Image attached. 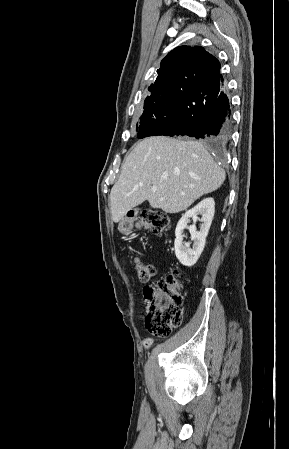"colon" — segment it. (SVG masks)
Masks as SVG:
<instances>
[{"mask_svg":"<svg viewBox=\"0 0 289 449\" xmlns=\"http://www.w3.org/2000/svg\"><path fill=\"white\" fill-rule=\"evenodd\" d=\"M167 223L168 218L164 213L145 210L141 213L136 225L154 233H160ZM130 224L127 222V225ZM133 266L142 281H148L155 275V266L150 262L136 258ZM181 288L180 277L176 271L166 274L161 281L144 288V322L153 335L167 337L181 324L183 314Z\"/></svg>","mask_w":289,"mask_h":449,"instance_id":"colon-1","label":"colon"}]
</instances>
